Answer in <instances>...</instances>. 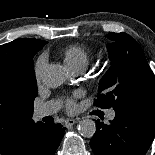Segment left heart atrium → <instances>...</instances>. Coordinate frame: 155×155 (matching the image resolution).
Masks as SVG:
<instances>
[{
    "instance_id": "obj_1",
    "label": "left heart atrium",
    "mask_w": 155,
    "mask_h": 155,
    "mask_svg": "<svg viewBox=\"0 0 155 155\" xmlns=\"http://www.w3.org/2000/svg\"><path fill=\"white\" fill-rule=\"evenodd\" d=\"M66 106L69 111H74L76 109L75 103L72 99L67 101Z\"/></svg>"
}]
</instances>
